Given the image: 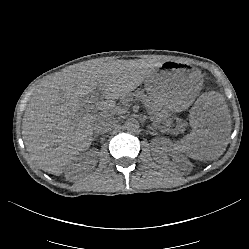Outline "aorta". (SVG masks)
<instances>
[{
    "mask_svg": "<svg viewBox=\"0 0 249 249\" xmlns=\"http://www.w3.org/2000/svg\"><path fill=\"white\" fill-rule=\"evenodd\" d=\"M124 127L126 130L133 132L139 128V122L134 117H129L125 121Z\"/></svg>",
    "mask_w": 249,
    "mask_h": 249,
    "instance_id": "1",
    "label": "aorta"
}]
</instances>
